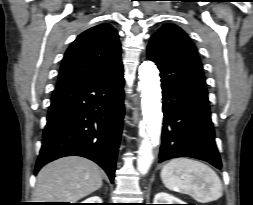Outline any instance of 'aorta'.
Here are the masks:
<instances>
[{"label": "aorta", "instance_id": "obj_1", "mask_svg": "<svg viewBox=\"0 0 253 205\" xmlns=\"http://www.w3.org/2000/svg\"><path fill=\"white\" fill-rule=\"evenodd\" d=\"M139 89L143 120L140 122L142 142L138 150L137 169L145 175L153 162L152 149L158 143L162 125V104L159 71L151 61L139 67Z\"/></svg>", "mask_w": 253, "mask_h": 205}]
</instances>
